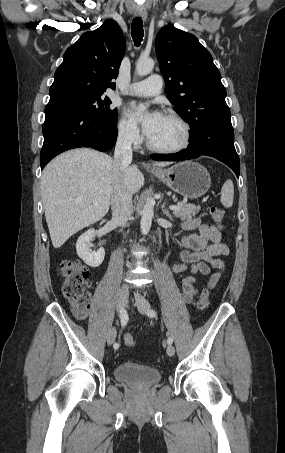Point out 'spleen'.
Masks as SVG:
<instances>
[{
	"instance_id": "obj_1",
	"label": "spleen",
	"mask_w": 285,
	"mask_h": 453,
	"mask_svg": "<svg viewBox=\"0 0 285 453\" xmlns=\"http://www.w3.org/2000/svg\"><path fill=\"white\" fill-rule=\"evenodd\" d=\"M234 198V185L232 180L228 179L222 186L220 201L226 208H230L233 205Z\"/></svg>"
}]
</instances>
